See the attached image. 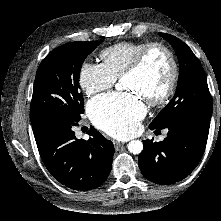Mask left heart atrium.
Wrapping results in <instances>:
<instances>
[{
    "label": "left heart atrium",
    "instance_id": "obj_1",
    "mask_svg": "<svg viewBox=\"0 0 221 221\" xmlns=\"http://www.w3.org/2000/svg\"><path fill=\"white\" fill-rule=\"evenodd\" d=\"M145 113L146 106L135 91L102 95L88 104V114L94 124L116 139L134 135Z\"/></svg>",
    "mask_w": 221,
    "mask_h": 221
}]
</instances>
